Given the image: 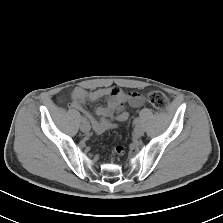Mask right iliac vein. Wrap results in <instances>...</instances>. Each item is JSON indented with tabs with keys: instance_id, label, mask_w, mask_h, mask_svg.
<instances>
[{
	"instance_id": "right-iliac-vein-1",
	"label": "right iliac vein",
	"mask_w": 223,
	"mask_h": 223,
	"mask_svg": "<svg viewBox=\"0 0 223 223\" xmlns=\"http://www.w3.org/2000/svg\"><path fill=\"white\" fill-rule=\"evenodd\" d=\"M80 129H81L82 132L88 133L90 131V125H89V123H87V122L84 121L81 124Z\"/></svg>"
}]
</instances>
